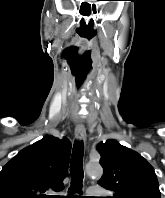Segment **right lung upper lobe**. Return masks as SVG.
I'll use <instances>...</instances> for the list:
<instances>
[{
    "label": "right lung upper lobe",
    "mask_w": 165,
    "mask_h": 198,
    "mask_svg": "<svg viewBox=\"0 0 165 198\" xmlns=\"http://www.w3.org/2000/svg\"><path fill=\"white\" fill-rule=\"evenodd\" d=\"M71 144L48 135L21 150L0 172V198H44L60 191L68 173Z\"/></svg>",
    "instance_id": "right-lung-upper-lobe-1"
}]
</instances>
